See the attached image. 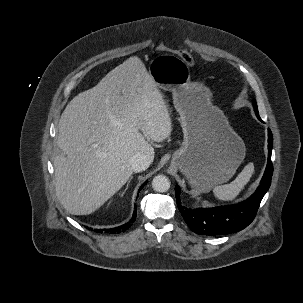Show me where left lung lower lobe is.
<instances>
[{
    "label": "left lung lower lobe",
    "mask_w": 303,
    "mask_h": 303,
    "mask_svg": "<svg viewBox=\"0 0 303 303\" xmlns=\"http://www.w3.org/2000/svg\"><path fill=\"white\" fill-rule=\"evenodd\" d=\"M259 120V114L256 113ZM262 121V120H261ZM273 137L268 129V161L265 173L257 190L245 201L228 206L214 208H186L180 202V188L175 187L177 205L185 222L190 229L199 235H227L247 227L254 219L260 202L271 184L273 166L271 161Z\"/></svg>",
    "instance_id": "1"
}]
</instances>
